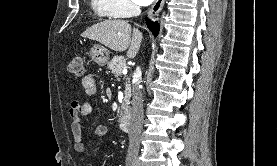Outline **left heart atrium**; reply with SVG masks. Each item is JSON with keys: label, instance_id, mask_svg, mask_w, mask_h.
<instances>
[{"label": "left heart atrium", "instance_id": "1", "mask_svg": "<svg viewBox=\"0 0 277 166\" xmlns=\"http://www.w3.org/2000/svg\"><path fill=\"white\" fill-rule=\"evenodd\" d=\"M136 4L140 6L149 5L153 0H133Z\"/></svg>", "mask_w": 277, "mask_h": 166}]
</instances>
